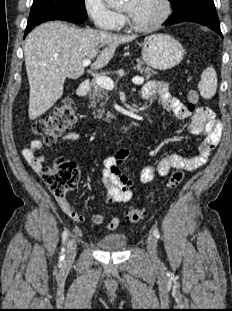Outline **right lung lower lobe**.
<instances>
[{
	"mask_svg": "<svg viewBox=\"0 0 232 311\" xmlns=\"http://www.w3.org/2000/svg\"><path fill=\"white\" fill-rule=\"evenodd\" d=\"M50 20H65L74 23H82L86 19L67 11H45L29 16L25 36L37 25Z\"/></svg>",
	"mask_w": 232,
	"mask_h": 311,
	"instance_id": "1",
	"label": "right lung lower lobe"
}]
</instances>
